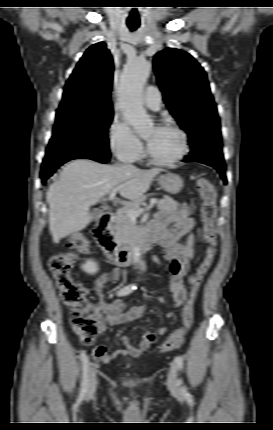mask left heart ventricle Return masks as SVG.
<instances>
[{"label":"left heart ventricle","mask_w":273,"mask_h":430,"mask_svg":"<svg viewBox=\"0 0 273 430\" xmlns=\"http://www.w3.org/2000/svg\"><path fill=\"white\" fill-rule=\"evenodd\" d=\"M151 153L158 159L175 157L181 148L179 135L169 129L151 127L145 134Z\"/></svg>","instance_id":"left-heart-ventricle-1"}]
</instances>
